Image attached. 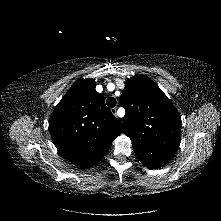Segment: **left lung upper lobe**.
<instances>
[{"label": "left lung upper lobe", "mask_w": 221, "mask_h": 221, "mask_svg": "<svg viewBox=\"0 0 221 221\" xmlns=\"http://www.w3.org/2000/svg\"><path fill=\"white\" fill-rule=\"evenodd\" d=\"M123 131L140 161L154 169L176 153L181 139V117L161 89L147 76L131 77L122 91Z\"/></svg>", "instance_id": "obj_1"}]
</instances>
